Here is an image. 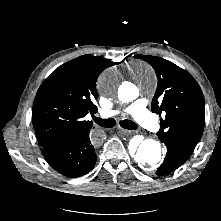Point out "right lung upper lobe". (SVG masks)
<instances>
[{
	"label": "right lung upper lobe",
	"mask_w": 221,
	"mask_h": 221,
	"mask_svg": "<svg viewBox=\"0 0 221 221\" xmlns=\"http://www.w3.org/2000/svg\"><path fill=\"white\" fill-rule=\"evenodd\" d=\"M118 64L98 56L83 55L58 67L39 87L32 120L42 148L73 135L89 132L92 121L84 117L96 113V81L100 73Z\"/></svg>",
	"instance_id": "1"
}]
</instances>
